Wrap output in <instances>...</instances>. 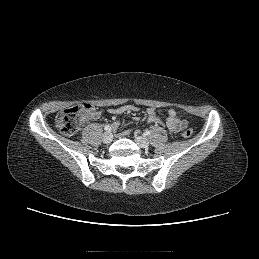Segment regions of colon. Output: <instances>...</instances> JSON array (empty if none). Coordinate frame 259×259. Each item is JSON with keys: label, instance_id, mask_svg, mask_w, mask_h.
Listing matches in <instances>:
<instances>
[{"label": "colon", "instance_id": "5ec220e1", "mask_svg": "<svg viewBox=\"0 0 259 259\" xmlns=\"http://www.w3.org/2000/svg\"><path fill=\"white\" fill-rule=\"evenodd\" d=\"M93 110V106L89 104L66 108L57 114L55 119L56 127L63 134L74 137L79 133L82 123L90 116ZM182 135L185 138H190L193 135V130L185 128Z\"/></svg>", "mask_w": 259, "mask_h": 259}]
</instances>
